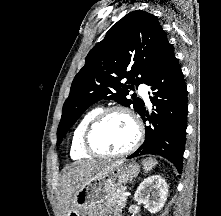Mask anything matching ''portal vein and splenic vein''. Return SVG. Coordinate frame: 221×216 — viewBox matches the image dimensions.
Segmentation results:
<instances>
[{"instance_id":"1","label":"portal vein and splenic vein","mask_w":221,"mask_h":216,"mask_svg":"<svg viewBox=\"0 0 221 216\" xmlns=\"http://www.w3.org/2000/svg\"><path fill=\"white\" fill-rule=\"evenodd\" d=\"M124 195H125V196H128V195H129V193H127V192H124Z\"/></svg>"}]
</instances>
